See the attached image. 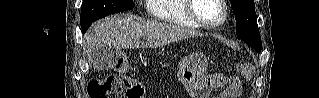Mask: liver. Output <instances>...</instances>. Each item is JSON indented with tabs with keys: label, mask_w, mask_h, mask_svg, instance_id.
<instances>
[{
	"label": "liver",
	"mask_w": 319,
	"mask_h": 98,
	"mask_svg": "<svg viewBox=\"0 0 319 98\" xmlns=\"http://www.w3.org/2000/svg\"><path fill=\"white\" fill-rule=\"evenodd\" d=\"M194 30L181 25L135 19L129 14H119L99 20L91 25L84 36L88 62L99 47L137 49L157 48L166 44L199 36ZM141 37H147L142 42Z\"/></svg>",
	"instance_id": "1"
}]
</instances>
